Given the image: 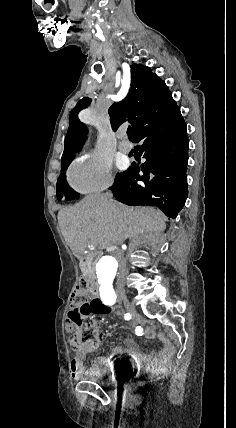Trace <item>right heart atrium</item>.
<instances>
[{
    "label": "right heart atrium",
    "mask_w": 236,
    "mask_h": 428,
    "mask_svg": "<svg viewBox=\"0 0 236 428\" xmlns=\"http://www.w3.org/2000/svg\"><path fill=\"white\" fill-rule=\"evenodd\" d=\"M70 187L77 193L89 195L112 188L115 177L102 159L82 156L75 160L68 171Z\"/></svg>",
    "instance_id": "1"
}]
</instances>
